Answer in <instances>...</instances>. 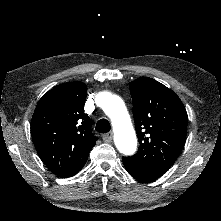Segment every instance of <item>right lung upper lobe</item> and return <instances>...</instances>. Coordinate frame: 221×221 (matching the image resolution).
<instances>
[{
    "label": "right lung upper lobe",
    "mask_w": 221,
    "mask_h": 221,
    "mask_svg": "<svg viewBox=\"0 0 221 221\" xmlns=\"http://www.w3.org/2000/svg\"><path fill=\"white\" fill-rule=\"evenodd\" d=\"M87 86L68 82L55 86L38 102L31 120L32 139L44 164L67 178L85 165L97 138L84 113Z\"/></svg>",
    "instance_id": "right-lung-upper-lobe-1"
}]
</instances>
